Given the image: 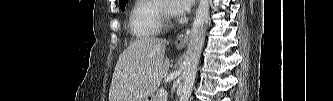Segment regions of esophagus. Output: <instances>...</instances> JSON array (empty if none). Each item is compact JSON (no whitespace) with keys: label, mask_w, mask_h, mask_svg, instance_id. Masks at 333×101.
Masks as SVG:
<instances>
[{"label":"esophagus","mask_w":333,"mask_h":101,"mask_svg":"<svg viewBox=\"0 0 333 101\" xmlns=\"http://www.w3.org/2000/svg\"><path fill=\"white\" fill-rule=\"evenodd\" d=\"M189 34L190 32L188 29L180 32L175 39V45L178 47H184L188 42Z\"/></svg>","instance_id":"obj_1"}]
</instances>
